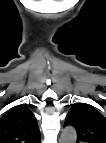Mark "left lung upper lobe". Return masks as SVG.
I'll use <instances>...</instances> for the list:
<instances>
[{
    "label": "left lung upper lobe",
    "mask_w": 106,
    "mask_h": 143,
    "mask_svg": "<svg viewBox=\"0 0 106 143\" xmlns=\"http://www.w3.org/2000/svg\"><path fill=\"white\" fill-rule=\"evenodd\" d=\"M65 125L76 129L78 141L106 143V117L89 104L74 105L66 116Z\"/></svg>",
    "instance_id": "obj_1"
}]
</instances>
